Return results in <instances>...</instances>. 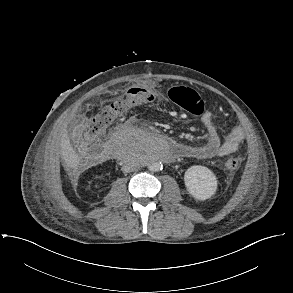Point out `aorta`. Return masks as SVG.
<instances>
[{
	"instance_id": "obj_1",
	"label": "aorta",
	"mask_w": 293,
	"mask_h": 293,
	"mask_svg": "<svg viewBox=\"0 0 293 293\" xmlns=\"http://www.w3.org/2000/svg\"><path fill=\"white\" fill-rule=\"evenodd\" d=\"M170 143L167 139L163 137H154L151 142L152 154L162 156L164 155L166 149L169 147ZM149 170L157 172L162 170V164L160 162H153L149 165Z\"/></svg>"
}]
</instances>
